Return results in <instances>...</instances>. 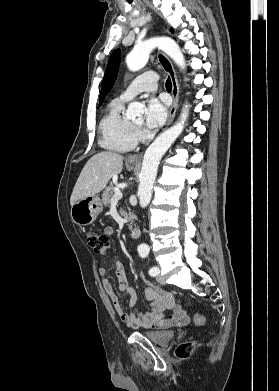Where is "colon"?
<instances>
[{"label": "colon", "instance_id": "1", "mask_svg": "<svg viewBox=\"0 0 279 391\" xmlns=\"http://www.w3.org/2000/svg\"><path fill=\"white\" fill-rule=\"evenodd\" d=\"M86 242L94 251L95 254L103 256L111 247V242L108 236L104 233L89 232L86 235ZM193 321L198 325L205 323V317L200 314H196L193 317ZM194 350V343L185 342L180 344L176 349V356L180 359L188 358Z\"/></svg>", "mask_w": 279, "mask_h": 391}]
</instances>
